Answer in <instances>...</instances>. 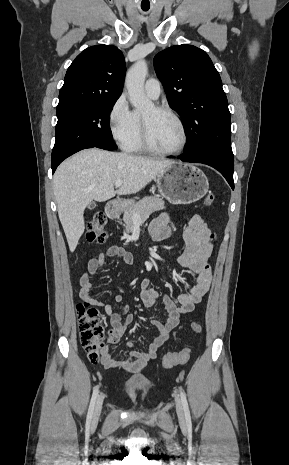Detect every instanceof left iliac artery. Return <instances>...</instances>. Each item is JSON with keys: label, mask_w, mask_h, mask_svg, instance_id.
<instances>
[{"label": "left iliac artery", "mask_w": 289, "mask_h": 465, "mask_svg": "<svg viewBox=\"0 0 289 465\" xmlns=\"http://www.w3.org/2000/svg\"><path fill=\"white\" fill-rule=\"evenodd\" d=\"M180 398L184 409L185 419L188 425H191V416L188 407V402L184 391L180 388Z\"/></svg>", "instance_id": "1"}]
</instances>
